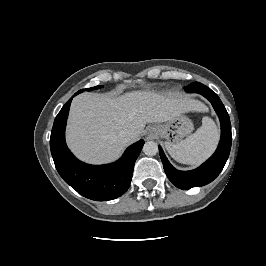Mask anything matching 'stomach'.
<instances>
[{
  "label": "stomach",
  "instance_id": "stomach-1",
  "mask_svg": "<svg viewBox=\"0 0 266 266\" xmlns=\"http://www.w3.org/2000/svg\"><path fill=\"white\" fill-rule=\"evenodd\" d=\"M156 136L166 139L170 143H178L193 131L192 121L180 114L165 123L152 126Z\"/></svg>",
  "mask_w": 266,
  "mask_h": 266
}]
</instances>
